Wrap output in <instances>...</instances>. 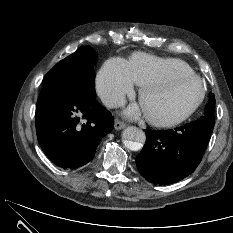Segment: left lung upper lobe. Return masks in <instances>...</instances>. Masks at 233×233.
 <instances>
[{
  "mask_svg": "<svg viewBox=\"0 0 233 233\" xmlns=\"http://www.w3.org/2000/svg\"><path fill=\"white\" fill-rule=\"evenodd\" d=\"M214 107H215V97L212 93H210L209 102L204 110L205 114L203 117L198 119V121L214 126V117H213Z\"/></svg>",
  "mask_w": 233,
  "mask_h": 233,
  "instance_id": "left-lung-upper-lobe-1",
  "label": "left lung upper lobe"
}]
</instances>
